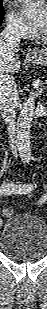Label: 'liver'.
<instances>
[{
	"instance_id": "liver-1",
	"label": "liver",
	"mask_w": 47,
	"mask_h": 309,
	"mask_svg": "<svg viewBox=\"0 0 47 309\" xmlns=\"http://www.w3.org/2000/svg\"><path fill=\"white\" fill-rule=\"evenodd\" d=\"M18 51V47L2 44L0 39V77L3 73H18L21 64Z\"/></svg>"
}]
</instances>
